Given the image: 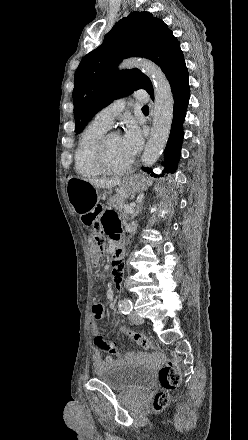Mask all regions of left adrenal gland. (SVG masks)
<instances>
[{
  "instance_id": "left-adrenal-gland-1",
  "label": "left adrenal gland",
  "mask_w": 248,
  "mask_h": 440,
  "mask_svg": "<svg viewBox=\"0 0 248 440\" xmlns=\"http://www.w3.org/2000/svg\"><path fill=\"white\" fill-rule=\"evenodd\" d=\"M142 209H143V201L141 200L138 202V205H137L132 217L138 216L140 214V212L142 211Z\"/></svg>"
}]
</instances>
